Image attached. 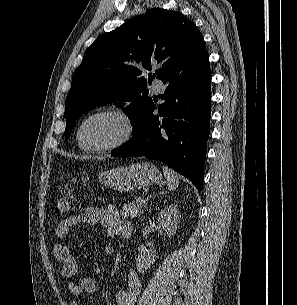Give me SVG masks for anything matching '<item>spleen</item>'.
<instances>
[{"label":"spleen","mask_w":297,"mask_h":305,"mask_svg":"<svg viewBox=\"0 0 297 305\" xmlns=\"http://www.w3.org/2000/svg\"><path fill=\"white\" fill-rule=\"evenodd\" d=\"M163 173L167 180L168 189L170 191L175 190L179 185V179L177 174L166 166H163Z\"/></svg>","instance_id":"spleen-1"}]
</instances>
